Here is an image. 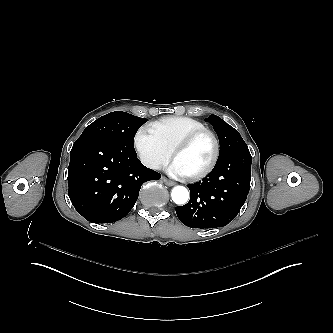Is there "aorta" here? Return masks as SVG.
Instances as JSON below:
<instances>
[{"label": "aorta", "instance_id": "1", "mask_svg": "<svg viewBox=\"0 0 333 333\" xmlns=\"http://www.w3.org/2000/svg\"><path fill=\"white\" fill-rule=\"evenodd\" d=\"M171 198L177 205H184L189 200V192L184 186H175L171 192Z\"/></svg>", "mask_w": 333, "mask_h": 333}]
</instances>
